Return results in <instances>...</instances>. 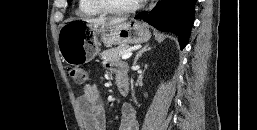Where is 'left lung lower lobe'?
Wrapping results in <instances>:
<instances>
[{
  "label": "left lung lower lobe",
  "mask_w": 257,
  "mask_h": 130,
  "mask_svg": "<svg viewBox=\"0 0 257 130\" xmlns=\"http://www.w3.org/2000/svg\"><path fill=\"white\" fill-rule=\"evenodd\" d=\"M197 0H163L148 14H138L141 19L155 28L172 32L178 36L180 48L183 49L189 40L191 27L194 22V5Z\"/></svg>",
  "instance_id": "1"
}]
</instances>
